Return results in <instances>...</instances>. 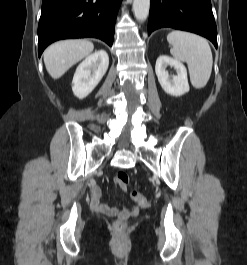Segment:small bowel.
I'll list each match as a JSON object with an SVG mask.
<instances>
[{
  "instance_id": "small-bowel-1",
  "label": "small bowel",
  "mask_w": 247,
  "mask_h": 265,
  "mask_svg": "<svg viewBox=\"0 0 247 265\" xmlns=\"http://www.w3.org/2000/svg\"><path fill=\"white\" fill-rule=\"evenodd\" d=\"M100 196V190L98 188H94L91 192L90 205L95 212L112 217L116 216L122 220L127 219L129 216H137L139 214L138 207L129 209L125 207L119 208L105 205L100 201Z\"/></svg>"
}]
</instances>
